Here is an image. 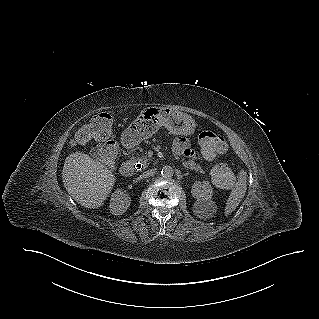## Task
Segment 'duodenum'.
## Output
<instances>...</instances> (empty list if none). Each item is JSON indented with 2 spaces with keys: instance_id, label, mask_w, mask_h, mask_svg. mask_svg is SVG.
Segmentation results:
<instances>
[{
  "instance_id": "duodenum-1",
  "label": "duodenum",
  "mask_w": 319,
  "mask_h": 319,
  "mask_svg": "<svg viewBox=\"0 0 319 319\" xmlns=\"http://www.w3.org/2000/svg\"><path fill=\"white\" fill-rule=\"evenodd\" d=\"M133 144V139L130 137H126L124 139V145L126 147H130ZM135 171V165L132 162H125L120 169V172L123 176L128 177L131 176Z\"/></svg>"
}]
</instances>
